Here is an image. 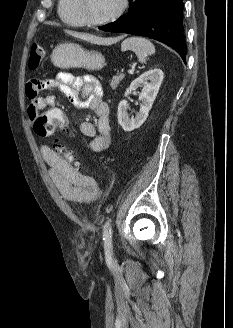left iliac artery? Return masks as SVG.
Listing matches in <instances>:
<instances>
[{"label":"left iliac artery","instance_id":"1","mask_svg":"<svg viewBox=\"0 0 233 328\" xmlns=\"http://www.w3.org/2000/svg\"><path fill=\"white\" fill-rule=\"evenodd\" d=\"M104 248L111 250L112 248V226L109 220L106 221L103 228Z\"/></svg>","mask_w":233,"mask_h":328}]
</instances>
